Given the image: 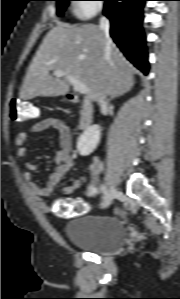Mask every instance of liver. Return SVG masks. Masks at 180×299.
<instances>
[{"instance_id": "obj_1", "label": "liver", "mask_w": 180, "mask_h": 299, "mask_svg": "<svg viewBox=\"0 0 180 299\" xmlns=\"http://www.w3.org/2000/svg\"><path fill=\"white\" fill-rule=\"evenodd\" d=\"M61 70L83 82L85 99L111 98L130 91L134 84L133 67L100 27L68 25L58 22L40 45L20 91V98L65 95L70 89L67 77H53L50 71Z\"/></svg>"}]
</instances>
